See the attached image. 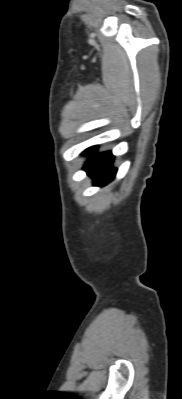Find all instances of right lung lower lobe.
<instances>
[{"label":"right lung lower lobe","instance_id":"obj_1","mask_svg":"<svg viewBox=\"0 0 182 399\" xmlns=\"http://www.w3.org/2000/svg\"><path fill=\"white\" fill-rule=\"evenodd\" d=\"M96 149L93 146L84 151L90 158L83 169L94 179V185L104 186L114 179L117 169L112 167L114 156L110 151L97 154Z\"/></svg>","mask_w":182,"mask_h":399}]
</instances>
